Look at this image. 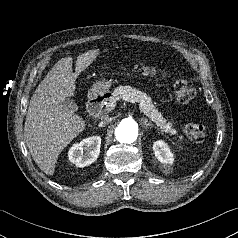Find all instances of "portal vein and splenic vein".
I'll return each instance as SVG.
<instances>
[{
    "instance_id": "18ae733b",
    "label": "portal vein and splenic vein",
    "mask_w": 238,
    "mask_h": 238,
    "mask_svg": "<svg viewBox=\"0 0 238 238\" xmlns=\"http://www.w3.org/2000/svg\"><path fill=\"white\" fill-rule=\"evenodd\" d=\"M125 101H128L132 104H136V102L133 99H129V98H124ZM116 106V104H114L113 106H111L112 108H114Z\"/></svg>"
}]
</instances>
